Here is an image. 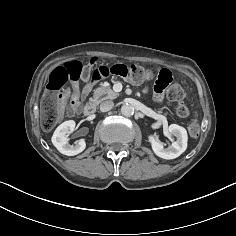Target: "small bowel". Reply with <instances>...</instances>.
<instances>
[{
  "label": "small bowel",
  "instance_id": "obj_1",
  "mask_svg": "<svg viewBox=\"0 0 236 236\" xmlns=\"http://www.w3.org/2000/svg\"><path fill=\"white\" fill-rule=\"evenodd\" d=\"M92 88V83H87L84 88L82 89L81 92H79L77 89H75L73 95L74 96H77L78 98L81 97V98H84L88 95V93L90 92ZM154 99L157 101V102H161L163 100V94L161 92H158V91H155L154 93Z\"/></svg>",
  "mask_w": 236,
  "mask_h": 236
}]
</instances>
